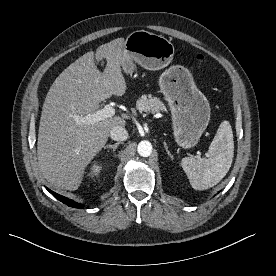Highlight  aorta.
I'll return each mask as SVG.
<instances>
[{
  "instance_id": "aorta-1",
  "label": "aorta",
  "mask_w": 276,
  "mask_h": 276,
  "mask_svg": "<svg viewBox=\"0 0 276 276\" xmlns=\"http://www.w3.org/2000/svg\"><path fill=\"white\" fill-rule=\"evenodd\" d=\"M138 154L142 157H148L152 153V145L149 141H141L137 147Z\"/></svg>"
}]
</instances>
